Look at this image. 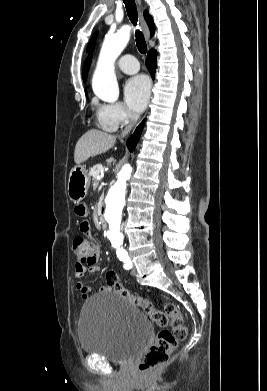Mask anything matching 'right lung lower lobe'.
<instances>
[{
  "instance_id": "1",
  "label": "right lung lower lobe",
  "mask_w": 267,
  "mask_h": 391,
  "mask_svg": "<svg viewBox=\"0 0 267 391\" xmlns=\"http://www.w3.org/2000/svg\"><path fill=\"white\" fill-rule=\"evenodd\" d=\"M156 56H157V53L155 50H151L149 53H148V56H147V59H146V66L152 76V78L154 79L155 77V70H156V66H157V59H156ZM143 126H144V121H142L139 126L136 128L135 132L130 136V138L127 140V147L129 149V151H133L134 148L136 147V144L140 138V135H141V132H142V129H143Z\"/></svg>"
}]
</instances>
